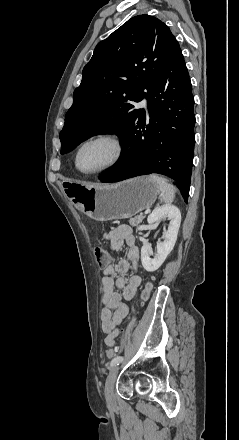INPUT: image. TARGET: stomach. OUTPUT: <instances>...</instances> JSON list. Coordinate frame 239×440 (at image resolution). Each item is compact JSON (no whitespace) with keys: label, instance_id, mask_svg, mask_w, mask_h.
Returning a JSON list of instances; mask_svg holds the SVG:
<instances>
[{"label":"stomach","instance_id":"obj_1","mask_svg":"<svg viewBox=\"0 0 239 440\" xmlns=\"http://www.w3.org/2000/svg\"><path fill=\"white\" fill-rule=\"evenodd\" d=\"M71 200L83 214L97 220H123L139 214L154 204L160 188L150 176L131 178L111 186L71 184Z\"/></svg>","mask_w":239,"mask_h":440}]
</instances>
